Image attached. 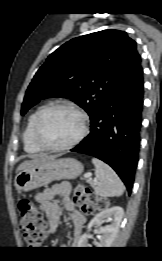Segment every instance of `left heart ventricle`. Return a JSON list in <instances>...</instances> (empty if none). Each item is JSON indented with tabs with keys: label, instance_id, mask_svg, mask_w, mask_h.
<instances>
[{
	"label": "left heart ventricle",
	"instance_id": "obj_1",
	"mask_svg": "<svg viewBox=\"0 0 162 261\" xmlns=\"http://www.w3.org/2000/svg\"><path fill=\"white\" fill-rule=\"evenodd\" d=\"M81 128L80 118L67 109H56L44 118L41 136L50 145H63L72 141Z\"/></svg>",
	"mask_w": 162,
	"mask_h": 261
}]
</instances>
